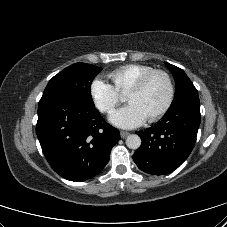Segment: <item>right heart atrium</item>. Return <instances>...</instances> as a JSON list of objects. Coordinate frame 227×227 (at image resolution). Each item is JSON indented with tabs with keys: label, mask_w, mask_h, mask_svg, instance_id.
Masks as SVG:
<instances>
[{
	"label": "right heart atrium",
	"mask_w": 227,
	"mask_h": 227,
	"mask_svg": "<svg viewBox=\"0 0 227 227\" xmlns=\"http://www.w3.org/2000/svg\"><path fill=\"white\" fill-rule=\"evenodd\" d=\"M90 94L95 106L103 113H111L121 100L114 86L100 78L92 81Z\"/></svg>",
	"instance_id": "right-heart-atrium-1"
}]
</instances>
